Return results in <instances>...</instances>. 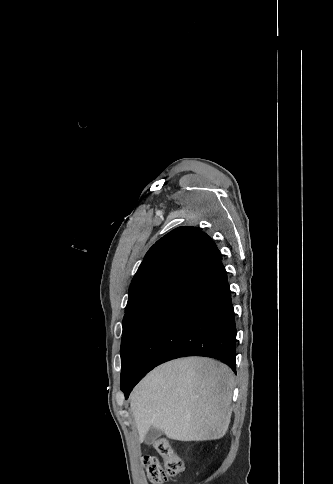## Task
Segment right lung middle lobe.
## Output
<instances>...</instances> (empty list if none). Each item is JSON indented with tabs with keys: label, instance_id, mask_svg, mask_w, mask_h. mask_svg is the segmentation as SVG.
I'll list each match as a JSON object with an SVG mask.
<instances>
[{
	"label": "right lung middle lobe",
	"instance_id": "1",
	"mask_svg": "<svg viewBox=\"0 0 333 484\" xmlns=\"http://www.w3.org/2000/svg\"><path fill=\"white\" fill-rule=\"evenodd\" d=\"M169 293L157 295L125 313L121 341V389L125 387L135 360L136 350L148 324Z\"/></svg>",
	"mask_w": 333,
	"mask_h": 484
}]
</instances>
